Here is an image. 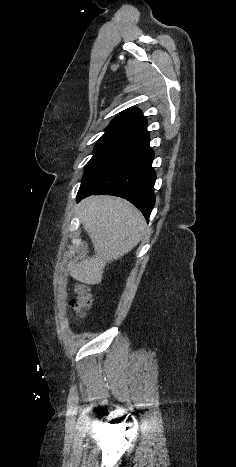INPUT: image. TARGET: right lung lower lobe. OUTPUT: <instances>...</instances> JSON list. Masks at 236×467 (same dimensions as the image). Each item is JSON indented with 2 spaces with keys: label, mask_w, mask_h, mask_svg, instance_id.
Returning <instances> with one entry per match:
<instances>
[{
  "label": "right lung lower lobe",
  "mask_w": 236,
  "mask_h": 467,
  "mask_svg": "<svg viewBox=\"0 0 236 467\" xmlns=\"http://www.w3.org/2000/svg\"><path fill=\"white\" fill-rule=\"evenodd\" d=\"M145 133L127 143L82 179L77 201L90 195H115L133 203L149 218L155 204L154 151Z\"/></svg>",
  "instance_id": "98d812e1"
}]
</instances>
